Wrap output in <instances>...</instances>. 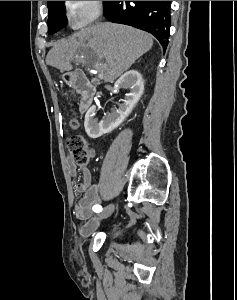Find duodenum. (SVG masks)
<instances>
[{
	"instance_id": "1",
	"label": "duodenum",
	"mask_w": 237,
	"mask_h": 300,
	"mask_svg": "<svg viewBox=\"0 0 237 300\" xmlns=\"http://www.w3.org/2000/svg\"><path fill=\"white\" fill-rule=\"evenodd\" d=\"M67 83L81 96L80 111L85 112L93 102L96 94L95 86L80 70H74L67 75Z\"/></svg>"
}]
</instances>
